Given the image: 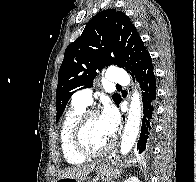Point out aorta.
I'll return each mask as SVG.
<instances>
[{"instance_id":"762f6f07","label":"aorta","mask_w":196,"mask_h":182,"mask_svg":"<svg viewBox=\"0 0 196 182\" xmlns=\"http://www.w3.org/2000/svg\"><path fill=\"white\" fill-rule=\"evenodd\" d=\"M141 122V98L138 91H134L129 106L128 118L124 128L120 152L127 155L133 148L137 139Z\"/></svg>"}]
</instances>
